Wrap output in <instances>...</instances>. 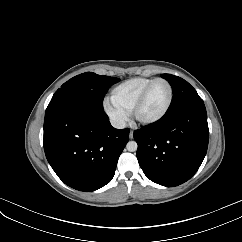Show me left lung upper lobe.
I'll list each match as a JSON object with an SVG mask.
<instances>
[{"label": "left lung upper lobe", "mask_w": 242, "mask_h": 242, "mask_svg": "<svg viewBox=\"0 0 242 242\" xmlns=\"http://www.w3.org/2000/svg\"><path fill=\"white\" fill-rule=\"evenodd\" d=\"M161 77L170 83L173 90L172 102L166 113L189 104L203 103L196 90L184 79L171 74H162Z\"/></svg>", "instance_id": "1"}]
</instances>
